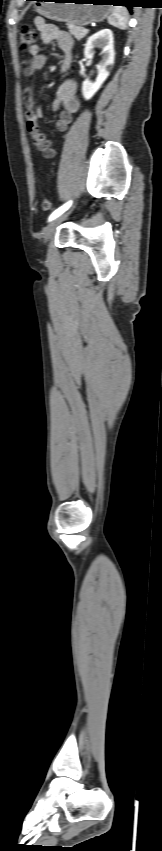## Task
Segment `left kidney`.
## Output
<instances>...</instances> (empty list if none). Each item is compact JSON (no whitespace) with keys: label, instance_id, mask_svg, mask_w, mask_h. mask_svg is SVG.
Returning a JSON list of instances; mask_svg holds the SVG:
<instances>
[{"label":"left kidney","instance_id":"left-kidney-1","mask_svg":"<svg viewBox=\"0 0 162 851\" xmlns=\"http://www.w3.org/2000/svg\"><path fill=\"white\" fill-rule=\"evenodd\" d=\"M114 38L110 29H103L90 36L85 44L84 56L87 60H91L94 56V49H101V61L97 66V77L95 82L84 80L82 83V95L85 100L91 99L95 93L101 88L102 84L108 78L110 71L114 65Z\"/></svg>","mask_w":162,"mask_h":851}]
</instances>
